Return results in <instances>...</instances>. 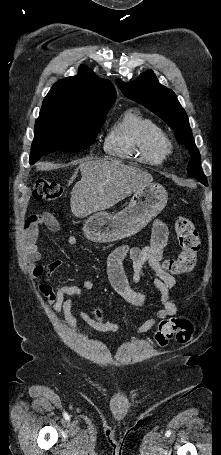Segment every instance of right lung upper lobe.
Here are the masks:
<instances>
[{"mask_svg":"<svg viewBox=\"0 0 221 455\" xmlns=\"http://www.w3.org/2000/svg\"><path fill=\"white\" fill-rule=\"evenodd\" d=\"M115 100L113 84L98 78L92 70L81 65L78 75L61 79L52 86L40 112L86 117L110 109Z\"/></svg>","mask_w":221,"mask_h":455,"instance_id":"cb5924a9","label":"right lung upper lobe"}]
</instances>
